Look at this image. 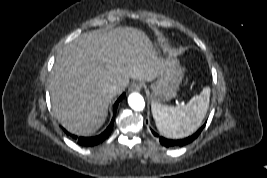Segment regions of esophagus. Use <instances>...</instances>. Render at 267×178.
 Instances as JSON below:
<instances>
[{
	"label": "esophagus",
	"instance_id": "1",
	"mask_svg": "<svg viewBox=\"0 0 267 178\" xmlns=\"http://www.w3.org/2000/svg\"><path fill=\"white\" fill-rule=\"evenodd\" d=\"M142 88L139 82H133L129 87V92H137L140 91Z\"/></svg>",
	"mask_w": 267,
	"mask_h": 178
}]
</instances>
